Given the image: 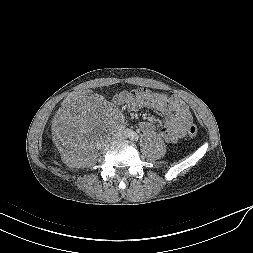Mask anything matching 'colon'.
<instances>
[{
  "instance_id": "obj_1",
  "label": "colon",
  "mask_w": 253,
  "mask_h": 253,
  "mask_svg": "<svg viewBox=\"0 0 253 253\" xmlns=\"http://www.w3.org/2000/svg\"><path fill=\"white\" fill-rule=\"evenodd\" d=\"M91 98L92 100L98 99V94L94 92L93 90H85V91H77L72 94H70L68 97L64 99L65 105H70L71 103H74L80 98ZM187 133L190 137H195L198 133V129L195 125L189 126Z\"/></svg>"
}]
</instances>
